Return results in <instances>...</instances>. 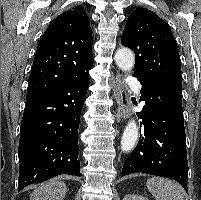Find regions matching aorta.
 Instances as JSON below:
<instances>
[{
    "label": "aorta",
    "mask_w": 201,
    "mask_h": 200,
    "mask_svg": "<svg viewBox=\"0 0 201 200\" xmlns=\"http://www.w3.org/2000/svg\"><path fill=\"white\" fill-rule=\"evenodd\" d=\"M115 62L122 71H131L134 67L135 57L130 49L121 48L116 51ZM137 138L138 126L134 120H131L124 129L121 139V149L126 152L133 149Z\"/></svg>",
    "instance_id": "obj_1"
}]
</instances>
